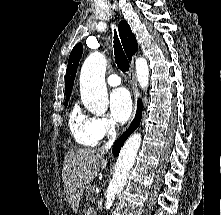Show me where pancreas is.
Instances as JSON below:
<instances>
[{
	"label": "pancreas",
	"instance_id": "obj_1",
	"mask_svg": "<svg viewBox=\"0 0 221 215\" xmlns=\"http://www.w3.org/2000/svg\"><path fill=\"white\" fill-rule=\"evenodd\" d=\"M93 201V197L91 196V190L88 189L86 192V204H85V208L89 207V202ZM86 215H95V211L91 212V214H89V211L86 212Z\"/></svg>",
	"mask_w": 221,
	"mask_h": 215
}]
</instances>
